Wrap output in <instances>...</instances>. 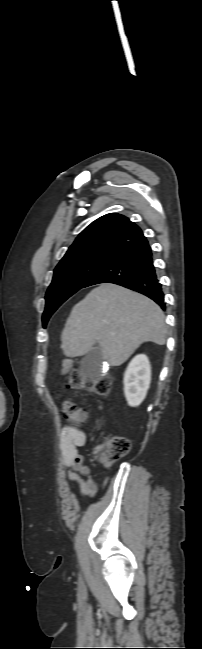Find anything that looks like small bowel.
Listing matches in <instances>:
<instances>
[{"instance_id": "1", "label": "small bowel", "mask_w": 202, "mask_h": 649, "mask_svg": "<svg viewBox=\"0 0 202 649\" xmlns=\"http://www.w3.org/2000/svg\"><path fill=\"white\" fill-rule=\"evenodd\" d=\"M86 443L87 435L84 431L72 426H65L62 429L60 450L63 462L68 468L67 479L78 484L81 494L94 500L98 494V485L78 450Z\"/></svg>"}]
</instances>
